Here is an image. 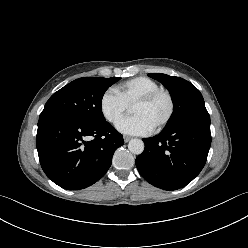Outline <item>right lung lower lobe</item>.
Segmentation results:
<instances>
[{"mask_svg": "<svg viewBox=\"0 0 248 248\" xmlns=\"http://www.w3.org/2000/svg\"><path fill=\"white\" fill-rule=\"evenodd\" d=\"M41 167L67 190L86 188L109 169L123 136L108 122H88L52 114L40 117L36 137Z\"/></svg>", "mask_w": 248, "mask_h": 248, "instance_id": "obj_1", "label": "right lung lower lobe"}]
</instances>
